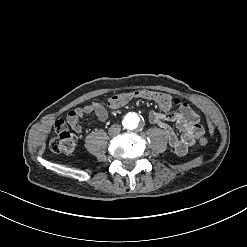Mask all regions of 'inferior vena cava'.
Instances as JSON below:
<instances>
[{"label":"inferior vena cava","mask_w":247,"mask_h":247,"mask_svg":"<svg viewBox=\"0 0 247 247\" xmlns=\"http://www.w3.org/2000/svg\"><path fill=\"white\" fill-rule=\"evenodd\" d=\"M121 127L118 124L112 125L109 130H108V134L110 136H116L120 133Z\"/></svg>","instance_id":"1"}]
</instances>
